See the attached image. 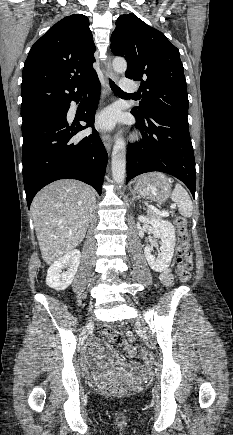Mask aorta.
Returning <instances> with one entry per match:
<instances>
[{
  "mask_svg": "<svg viewBox=\"0 0 233 435\" xmlns=\"http://www.w3.org/2000/svg\"><path fill=\"white\" fill-rule=\"evenodd\" d=\"M113 69L117 73H124L127 69V62L122 58L113 61ZM126 169V146L121 137H117L112 151V176L117 184H122L125 179Z\"/></svg>",
  "mask_w": 233,
  "mask_h": 435,
  "instance_id": "aorta-1",
  "label": "aorta"
}]
</instances>
